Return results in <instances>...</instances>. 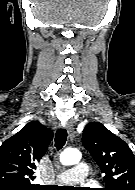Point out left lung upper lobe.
<instances>
[{
	"label": "left lung upper lobe",
	"instance_id": "left-lung-upper-lobe-1",
	"mask_svg": "<svg viewBox=\"0 0 135 190\" xmlns=\"http://www.w3.org/2000/svg\"><path fill=\"white\" fill-rule=\"evenodd\" d=\"M83 145L105 174L103 190H135V157L125 141L92 122L85 126Z\"/></svg>",
	"mask_w": 135,
	"mask_h": 190
}]
</instances>
